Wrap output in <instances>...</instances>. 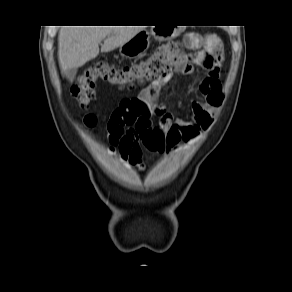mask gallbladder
Returning <instances> with one entry per match:
<instances>
[{
    "mask_svg": "<svg viewBox=\"0 0 292 292\" xmlns=\"http://www.w3.org/2000/svg\"><path fill=\"white\" fill-rule=\"evenodd\" d=\"M76 74H77V69H76V68H71V69H68V70L66 71V77H67V79H68L70 82H72V81L74 80Z\"/></svg>",
    "mask_w": 292,
    "mask_h": 292,
    "instance_id": "gallbladder-1",
    "label": "gallbladder"
}]
</instances>
